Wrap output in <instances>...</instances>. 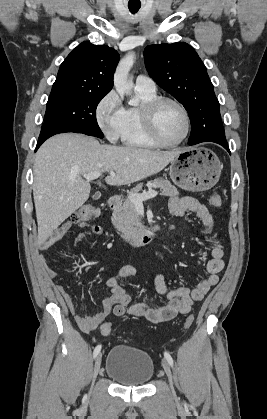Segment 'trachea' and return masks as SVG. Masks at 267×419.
I'll return each mask as SVG.
<instances>
[{
	"label": "trachea",
	"instance_id": "3493384b",
	"mask_svg": "<svg viewBox=\"0 0 267 419\" xmlns=\"http://www.w3.org/2000/svg\"><path fill=\"white\" fill-rule=\"evenodd\" d=\"M139 9H140V6H135V7L129 6V10L132 14L137 13Z\"/></svg>",
	"mask_w": 267,
	"mask_h": 419
}]
</instances>
